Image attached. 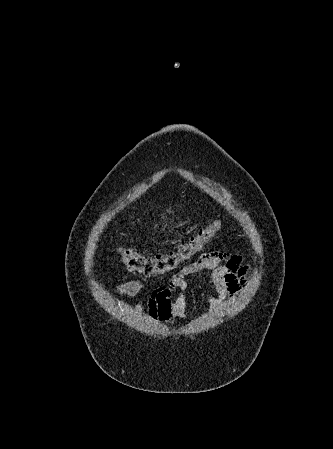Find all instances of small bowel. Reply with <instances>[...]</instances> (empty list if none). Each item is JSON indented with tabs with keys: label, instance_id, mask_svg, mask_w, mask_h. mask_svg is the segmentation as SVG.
I'll return each instance as SVG.
<instances>
[{
	"label": "small bowel",
	"instance_id": "c3829d8e",
	"mask_svg": "<svg viewBox=\"0 0 333 449\" xmlns=\"http://www.w3.org/2000/svg\"><path fill=\"white\" fill-rule=\"evenodd\" d=\"M248 267L236 255L219 251L204 253L197 261L183 267L174 274L167 285L153 291L146 306L150 319L173 325L186 319L187 277L197 273H208L206 296L212 309L221 310L230 297L237 296L248 285ZM143 289L140 281H127L116 288L118 295L135 296ZM138 313L145 310V302L139 301L135 307Z\"/></svg>",
	"mask_w": 333,
	"mask_h": 449
}]
</instances>
